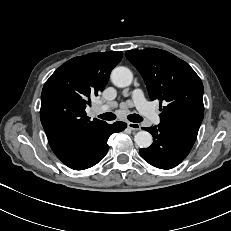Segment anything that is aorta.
I'll return each instance as SVG.
<instances>
[{
  "label": "aorta",
  "instance_id": "obj_1",
  "mask_svg": "<svg viewBox=\"0 0 231 231\" xmlns=\"http://www.w3.org/2000/svg\"><path fill=\"white\" fill-rule=\"evenodd\" d=\"M110 78L115 86L124 88L132 83L133 74L127 67L120 66L112 70ZM134 141L140 148H148L153 138L149 132L141 130L135 134Z\"/></svg>",
  "mask_w": 231,
  "mask_h": 231
}]
</instances>
